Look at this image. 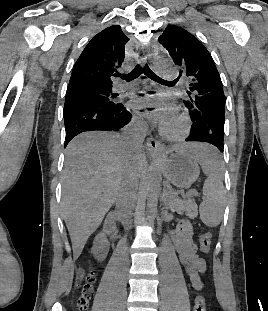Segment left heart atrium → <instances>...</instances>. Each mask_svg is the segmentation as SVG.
I'll list each match as a JSON object with an SVG mask.
<instances>
[{"label":"left heart atrium","mask_w":268,"mask_h":311,"mask_svg":"<svg viewBox=\"0 0 268 311\" xmlns=\"http://www.w3.org/2000/svg\"><path fill=\"white\" fill-rule=\"evenodd\" d=\"M162 96V95H160ZM146 97H155L154 95H147ZM156 104L154 102H149L141 98H133L130 101V106L134 109H142L147 106ZM159 104L165 105L163 108L155 109L157 113L152 115V118L162 125H166L171 122L174 118L175 108L168 102L162 101Z\"/></svg>","instance_id":"obj_1"}]
</instances>
